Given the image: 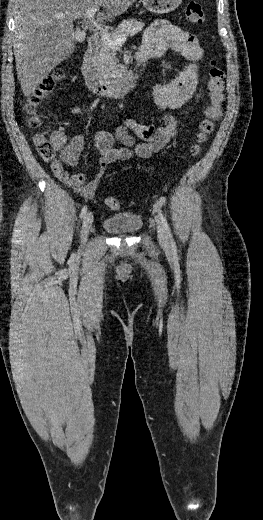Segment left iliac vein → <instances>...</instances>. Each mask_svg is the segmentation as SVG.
Here are the masks:
<instances>
[{
  "label": "left iliac vein",
  "mask_w": 263,
  "mask_h": 520,
  "mask_svg": "<svg viewBox=\"0 0 263 520\" xmlns=\"http://www.w3.org/2000/svg\"><path fill=\"white\" fill-rule=\"evenodd\" d=\"M156 226H157V233H158V239H159L160 244L163 246H168L169 245L168 235L159 220H156Z\"/></svg>",
  "instance_id": "1"
}]
</instances>
